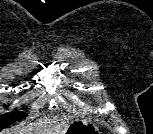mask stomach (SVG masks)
<instances>
[{
    "label": "stomach",
    "instance_id": "1",
    "mask_svg": "<svg viewBox=\"0 0 153 134\" xmlns=\"http://www.w3.org/2000/svg\"><path fill=\"white\" fill-rule=\"evenodd\" d=\"M98 128L86 119H75L66 128L64 134H98Z\"/></svg>",
    "mask_w": 153,
    "mask_h": 134
}]
</instances>
